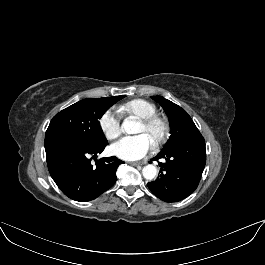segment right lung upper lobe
<instances>
[{"label":"right lung upper lobe","instance_id":"obj_1","mask_svg":"<svg viewBox=\"0 0 265 265\" xmlns=\"http://www.w3.org/2000/svg\"><path fill=\"white\" fill-rule=\"evenodd\" d=\"M117 97H120V96H115L114 98H117Z\"/></svg>","mask_w":265,"mask_h":265}]
</instances>
